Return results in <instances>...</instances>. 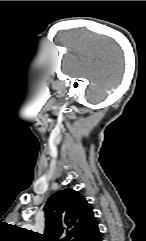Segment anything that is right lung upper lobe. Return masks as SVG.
I'll use <instances>...</instances> for the list:
<instances>
[{"label":"right lung upper lobe","mask_w":146,"mask_h":241,"mask_svg":"<svg viewBox=\"0 0 146 241\" xmlns=\"http://www.w3.org/2000/svg\"><path fill=\"white\" fill-rule=\"evenodd\" d=\"M44 211L46 227L40 241H100L94 213L79 192L65 189L54 194Z\"/></svg>","instance_id":"1"}]
</instances>
